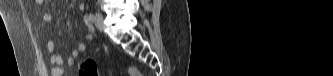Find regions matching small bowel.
Here are the masks:
<instances>
[{
  "label": "small bowel",
  "instance_id": "c3829d8e",
  "mask_svg": "<svg viewBox=\"0 0 333 76\" xmlns=\"http://www.w3.org/2000/svg\"><path fill=\"white\" fill-rule=\"evenodd\" d=\"M46 0H37L38 5H45ZM79 10H84V4L79 5ZM43 20L45 22H52L53 16L49 13L43 15ZM93 36L91 34H86L84 36V41L79 42L75 49L64 59L59 54L54 51L55 44L53 41L48 42V50L50 53V63L52 64V75L53 76H62L63 75V66H72L75 60L86 50V42L92 41Z\"/></svg>",
  "mask_w": 333,
  "mask_h": 76
}]
</instances>
